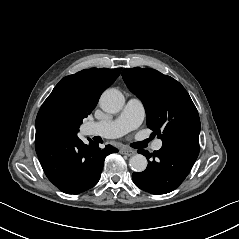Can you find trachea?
Masks as SVG:
<instances>
[{"mask_svg": "<svg viewBox=\"0 0 239 239\" xmlns=\"http://www.w3.org/2000/svg\"><path fill=\"white\" fill-rule=\"evenodd\" d=\"M143 143H136V144H134V147H138V146H140V145H142Z\"/></svg>", "mask_w": 239, "mask_h": 239, "instance_id": "3493384b", "label": "trachea"}]
</instances>
